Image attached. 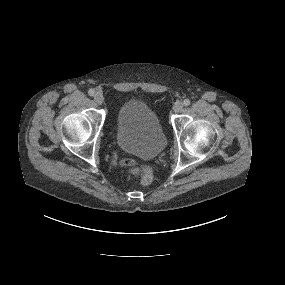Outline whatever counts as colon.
Wrapping results in <instances>:
<instances>
[{
  "label": "colon",
  "instance_id": "obj_1",
  "mask_svg": "<svg viewBox=\"0 0 285 285\" xmlns=\"http://www.w3.org/2000/svg\"><path fill=\"white\" fill-rule=\"evenodd\" d=\"M127 164L129 166L130 173H132L134 175L140 174L142 185H145V186L149 185L153 181L154 172H153V169L151 167H144L142 169H139L132 162H127Z\"/></svg>",
  "mask_w": 285,
  "mask_h": 285
}]
</instances>
